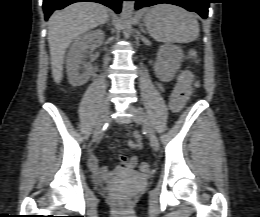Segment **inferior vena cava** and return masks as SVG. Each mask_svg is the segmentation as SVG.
Wrapping results in <instances>:
<instances>
[{"instance_id":"inferior-vena-cava-1","label":"inferior vena cava","mask_w":260,"mask_h":217,"mask_svg":"<svg viewBox=\"0 0 260 217\" xmlns=\"http://www.w3.org/2000/svg\"><path fill=\"white\" fill-rule=\"evenodd\" d=\"M108 59L105 60V63L107 64Z\"/></svg>"}]
</instances>
